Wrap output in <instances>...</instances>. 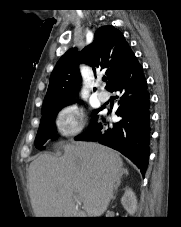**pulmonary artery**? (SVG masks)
<instances>
[{
	"label": "pulmonary artery",
	"instance_id": "obj_1",
	"mask_svg": "<svg viewBox=\"0 0 181 227\" xmlns=\"http://www.w3.org/2000/svg\"><path fill=\"white\" fill-rule=\"evenodd\" d=\"M98 98L101 102H107L110 98L109 93L106 91H100L98 93Z\"/></svg>",
	"mask_w": 181,
	"mask_h": 227
}]
</instances>
